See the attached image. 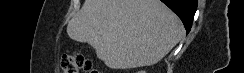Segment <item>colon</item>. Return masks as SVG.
Wrapping results in <instances>:
<instances>
[{
  "label": "colon",
  "mask_w": 244,
  "mask_h": 73,
  "mask_svg": "<svg viewBox=\"0 0 244 73\" xmlns=\"http://www.w3.org/2000/svg\"><path fill=\"white\" fill-rule=\"evenodd\" d=\"M64 73H80L81 71L97 73L92 67V62L82 54H64L60 60Z\"/></svg>",
  "instance_id": "colon-1"
}]
</instances>
